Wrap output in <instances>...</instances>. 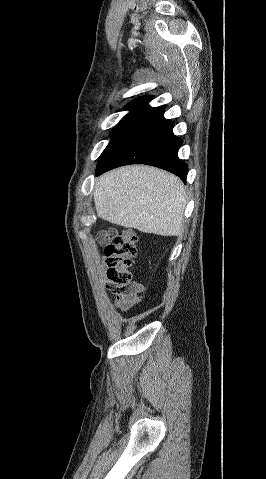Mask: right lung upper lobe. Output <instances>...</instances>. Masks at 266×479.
I'll use <instances>...</instances> for the list:
<instances>
[{
	"label": "right lung upper lobe",
	"mask_w": 266,
	"mask_h": 479,
	"mask_svg": "<svg viewBox=\"0 0 266 479\" xmlns=\"http://www.w3.org/2000/svg\"><path fill=\"white\" fill-rule=\"evenodd\" d=\"M153 96H143L139 97L132 102H130L125 109L130 110V113L138 114L141 111L149 107L148 103L152 100Z\"/></svg>",
	"instance_id": "obj_1"
}]
</instances>
